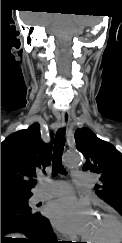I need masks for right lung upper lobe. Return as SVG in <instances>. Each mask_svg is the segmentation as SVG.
<instances>
[{
	"mask_svg": "<svg viewBox=\"0 0 122 243\" xmlns=\"http://www.w3.org/2000/svg\"><path fill=\"white\" fill-rule=\"evenodd\" d=\"M52 143L41 140L40 125L9 135L1 143V200L32 196L36 171L51 163Z\"/></svg>",
	"mask_w": 122,
	"mask_h": 243,
	"instance_id": "obj_1",
	"label": "right lung upper lobe"
}]
</instances>
